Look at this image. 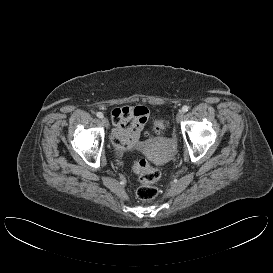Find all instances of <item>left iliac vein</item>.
<instances>
[{
  "label": "left iliac vein",
  "mask_w": 273,
  "mask_h": 273,
  "mask_svg": "<svg viewBox=\"0 0 273 273\" xmlns=\"http://www.w3.org/2000/svg\"><path fill=\"white\" fill-rule=\"evenodd\" d=\"M183 117H184V113H183V111H179L178 113H177V115H176V121L179 123V122H181L182 121V119H183Z\"/></svg>",
  "instance_id": "4c4485c4"
}]
</instances>
